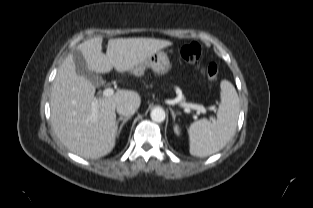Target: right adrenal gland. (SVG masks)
I'll return each mask as SVG.
<instances>
[{"label": "right adrenal gland", "instance_id": "obj_1", "mask_svg": "<svg viewBox=\"0 0 313 208\" xmlns=\"http://www.w3.org/2000/svg\"><path fill=\"white\" fill-rule=\"evenodd\" d=\"M130 118H131V117H119V118L117 119V121H116L117 127H118V125H119V122L122 121V123L120 124L119 129H118V135H120V132H121V130H122L124 124H125Z\"/></svg>", "mask_w": 313, "mask_h": 208}]
</instances>
